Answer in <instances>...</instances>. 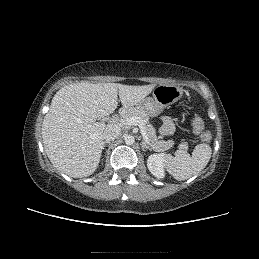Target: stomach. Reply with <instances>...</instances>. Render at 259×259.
<instances>
[{"label":"stomach","instance_id":"1","mask_svg":"<svg viewBox=\"0 0 259 259\" xmlns=\"http://www.w3.org/2000/svg\"><path fill=\"white\" fill-rule=\"evenodd\" d=\"M183 88L174 85H159L152 94L137 103L132 108L140 109L149 116L159 115L168 105L177 102L183 95Z\"/></svg>","mask_w":259,"mask_h":259}]
</instances>
